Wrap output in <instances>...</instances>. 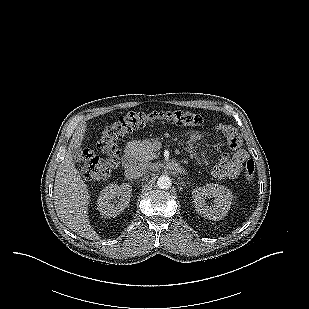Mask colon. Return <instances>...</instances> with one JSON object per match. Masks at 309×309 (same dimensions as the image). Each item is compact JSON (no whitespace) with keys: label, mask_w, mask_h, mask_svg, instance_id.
Returning <instances> with one entry per match:
<instances>
[{"label":"colon","mask_w":309,"mask_h":309,"mask_svg":"<svg viewBox=\"0 0 309 309\" xmlns=\"http://www.w3.org/2000/svg\"><path fill=\"white\" fill-rule=\"evenodd\" d=\"M155 121H168L185 126H200L203 118L191 111H167L153 113L131 112L107 126L99 139V147L105 158H99L92 150L85 149L81 155L80 170L89 178L107 179L119 165V148L117 142L129 132ZM237 142V139H234ZM244 177L252 182L255 177V163L248 159L245 164Z\"/></svg>","instance_id":"1"}]
</instances>
